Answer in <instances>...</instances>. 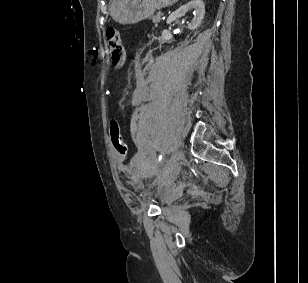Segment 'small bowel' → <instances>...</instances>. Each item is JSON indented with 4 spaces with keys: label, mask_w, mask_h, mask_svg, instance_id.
<instances>
[{
    "label": "small bowel",
    "mask_w": 308,
    "mask_h": 283,
    "mask_svg": "<svg viewBox=\"0 0 308 283\" xmlns=\"http://www.w3.org/2000/svg\"><path fill=\"white\" fill-rule=\"evenodd\" d=\"M145 99H146L145 94L143 92L139 91V90H135L132 94V103L135 106L143 103L145 101ZM118 169H119L120 172H122L124 174H128V172H129V168L125 164H120Z\"/></svg>",
    "instance_id": "small-bowel-1"
}]
</instances>
